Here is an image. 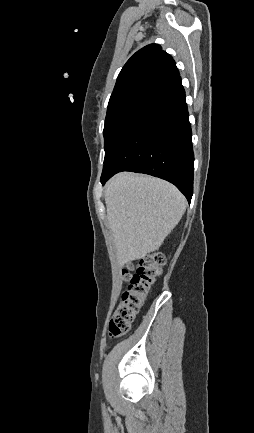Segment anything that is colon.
Here are the masks:
<instances>
[{
    "label": "colon",
    "mask_w": 254,
    "mask_h": 433,
    "mask_svg": "<svg viewBox=\"0 0 254 433\" xmlns=\"http://www.w3.org/2000/svg\"><path fill=\"white\" fill-rule=\"evenodd\" d=\"M164 262L165 258L161 253H152L136 263H130L126 266L123 275L129 285L123 291L110 321L109 335L111 338H117L128 333L150 292L152 284L159 277Z\"/></svg>",
    "instance_id": "1"
}]
</instances>
